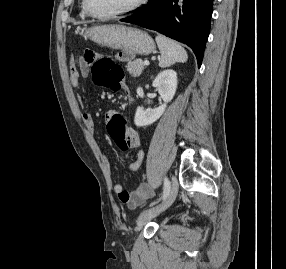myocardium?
<instances>
[{"mask_svg": "<svg viewBox=\"0 0 286 269\" xmlns=\"http://www.w3.org/2000/svg\"><path fill=\"white\" fill-rule=\"evenodd\" d=\"M147 1L148 0H136L127 8H124L122 10H119V11H116V12H113L110 14L100 15V14L94 13L90 9L88 0H83V9L86 12V14L92 18L100 19V20H107V19H114L117 17H121L124 15L130 14V13H133V12L137 11L138 9H140L143 5H145L147 3Z\"/></svg>", "mask_w": 286, "mask_h": 269, "instance_id": "1", "label": "myocardium"}]
</instances>
